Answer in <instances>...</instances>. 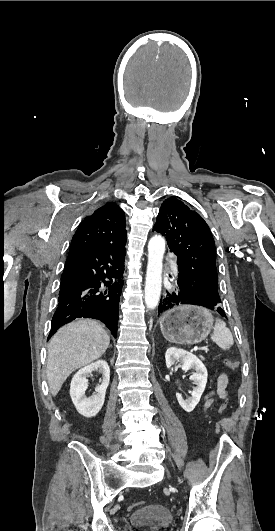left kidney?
I'll list each match as a JSON object with an SVG mask.
<instances>
[{
	"instance_id": "1",
	"label": "left kidney",
	"mask_w": 275,
	"mask_h": 531,
	"mask_svg": "<svg viewBox=\"0 0 275 531\" xmlns=\"http://www.w3.org/2000/svg\"><path fill=\"white\" fill-rule=\"evenodd\" d=\"M165 361L167 369L172 367V365H175L176 361H181L182 371H189V369H194V371H196V373H193V375L189 377L191 381H194V385H197V387H193L191 393L192 397L187 399V401H184L183 397H181L179 393H176L179 405H181L186 413H191L196 405H198L202 393H204L208 377L207 369L198 357H195L192 353H188V351H184V349H176V347H170V349H167L165 353Z\"/></svg>"
}]
</instances>
